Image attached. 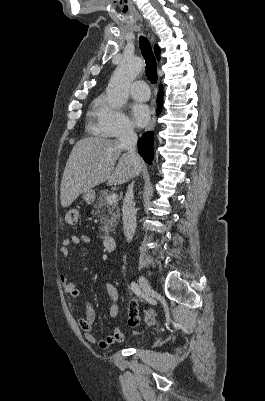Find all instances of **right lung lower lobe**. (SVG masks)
<instances>
[{"label": "right lung lower lobe", "instance_id": "1", "mask_svg": "<svg viewBox=\"0 0 265 401\" xmlns=\"http://www.w3.org/2000/svg\"><path fill=\"white\" fill-rule=\"evenodd\" d=\"M158 112L161 111L162 105V90L158 95L157 99ZM138 151L139 154L143 157V159L151 164L153 159V132L149 131L143 134L142 138L138 141Z\"/></svg>", "mask_w": 265, "mask_h": 401}]
</instances>
